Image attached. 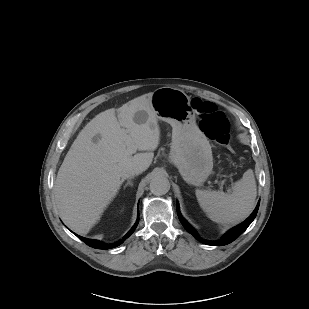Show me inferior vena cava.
<instances>
[{"label":"inferior vena cava","mask_w":309,"mask_h":309,"mask_svg":"<svg viewBox=\"0 0 309 309\" xmlns=\"http://www.w3.org/2000/svg\"><path fill=\"white\" fill-rule=\"evenodd\" d=\"M142 172V167H132L123 173L122 178L126 179L130 176L141 174Z\"/></svg>","instance_id":"602c4592"}]
</instances>
